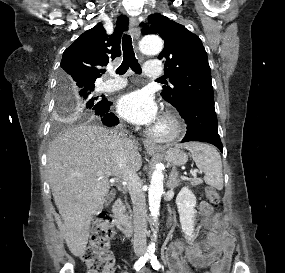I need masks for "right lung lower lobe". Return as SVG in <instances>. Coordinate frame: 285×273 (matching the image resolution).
Returning a JSON list of instances; mask_svg holds the SVG:
<instances>
[{"label": "right lung lower lobe", "instance_id": "98d812e1", "mask_svg": "<svg viewBox=\"0 0 285 273\" xmlns=\"http://www.w3.org/2000/svg\"><path fill=\"white\" fill-rule=\"evenodd\" d=\"M111 104L104 98L95 110V115L102 116V122L110 127L118 124V118L113 113H109Z\"/></svg>", "mask_w": 285, "mask_h": 273}]
</instances>
